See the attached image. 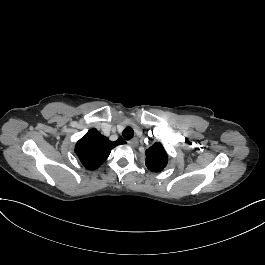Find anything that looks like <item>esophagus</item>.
I'll use <instances>...</instances> for the list:
<instances>
[{
  "label": "esophagus",
  "instance_id": "34e87169",
  "mask_svg": "<svg viewBox=\"0 0 265 265\" xmlns=\"http://www.w3.org/2000/svg\"><path fill=\"white\" fill-rule=\"evenodd\" d=\"M128 144H129L131 147L135 148V147H137L138 144H139V139H138L137 137H134V138H132L131 140L128 141Z\"/></svg>",
  "mask_w": 265,
  "mask_h": 265
}]
</instances>
